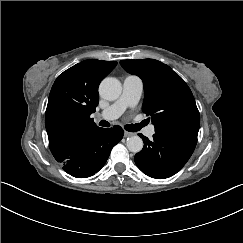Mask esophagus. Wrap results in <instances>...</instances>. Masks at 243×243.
<instances>
[{"instance_id": "34e87169", "label": "esophagus", "mask_w": 243, "mask_h": 243, "mask_svg": "<svg viewBox=\"0 0 243 243\" xmlns=\"http://www.w3.org/2000/svg\"><path fill=\"white\" fill-rule=\"evenodd\" d=\"M133 135H134V133H132V132H127V131L124 132V137H125V138H127V137H131V136H133Z\"/></svg>"}]
</instances>
